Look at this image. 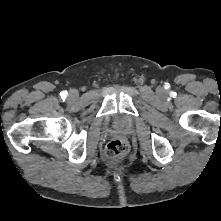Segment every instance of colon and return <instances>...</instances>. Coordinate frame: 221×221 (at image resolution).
Masks as SVG:
<instances>
[{
  "label": "colon",
  "mask_w": 221,
  "mask_h": 221,
  "mask_svg": "<svg viewBox=\"0 0 221 221\" xmlns=\"http://www.w3.org/2000/svg\"><path fill=\"white\" fill-rule=\"evenodd\" d=\"M128 144L120 139L111 141L105 150V159L109 165H116L128 152Z\"/></svg>",
  "instance_id": "obj_1"
}]
</instances>
